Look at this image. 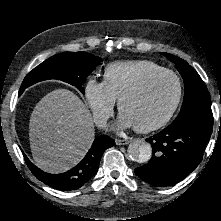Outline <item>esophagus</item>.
Here are the masks:
<instances>
[{
    "mask_svg": "<svg viewBox=\"0 0 221 221\" xmlns=\"http://www.w3.org/2000/svg\"><path fill=\"white\" fill-rule=\"evenodd\" d=\"M116 144L117 145H126L129 144L131 142V140L128 139H116Z\"/></svg>",
    "mask_w": 221,
    "mask_h": 221,
    "instance_id": "34e87169",
    "label": "esophagus"
}]
</instances>
